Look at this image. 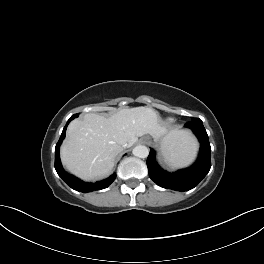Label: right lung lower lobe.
Returning <instances> with one entry per match:
<instances>
[{
	"label": "right lung lower lobe",
	"mask_w": 264,
	"mask_h": 264,
	"mask_svg": "<svg viewBox=\"0 0 264 264\" xmlns=\"http://www.w3.org/2000/svg\"><path fill=\"white\" fill-rule=\"evenodd\" d=\"M76 117H78V114H74L70 117L66 126L63 129V132L61 134V137H60L58 143L56 144V147H55V169H56L58 175L66 182V184L76 191L87 193V192H92L94 190H101V189L107 188L115 180V178H116L115 173L112 174L109 178H107L105 180L98 181L95 183H87V182H83L82 180L68 174L62 167V164L60 161V156H59V147H60L63 139L65 138V132H66V128H67L69 122Z\"/></svg>",
	"instance_id": "right-lung-lower-lobe-1"
}]
</instances>
